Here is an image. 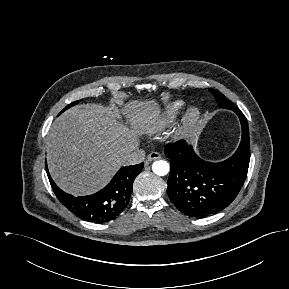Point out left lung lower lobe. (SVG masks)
<instances>
[{
	"label": "left lung lower lobe",
	"mask_w": 289,
	"mask_h": 289,
	"mask_svg": "<svg viewBox=\"0 0 289 289\" xmlns=\"http://www.w3.org/2000/svg\"><path fill=\"white\" fill-rule=\"evenodd\" d=\"M235 113L241 122L242 138L237 151L223 162L203 161L183 140L164 148L171 165L167 193L188 216L202 218L223 210L244 184L250 161L249 129L244 114L240 110Z\"/></svg>",
	"instance_id": "0a47b994"
}]
</instances>
